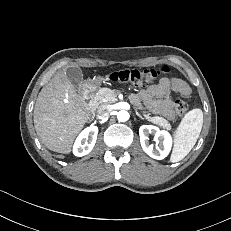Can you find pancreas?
I'll return each mask as SVG.
<instances>
[{"mask_svg": "<svg viewBox=\"0 0 231 231\" xmlns=\"http://www.w3.org/2000/svg\"><path fill=\"white\" fill-rule=\"evenodd\" d=\"M94 100L98 104H108V103H114L116 99V92L110 88H100L96 95L94 96ZM145 118L156 124L159 125L160 127L169 129L171 127L169 121L164 119L163 117L155 116V117H150L148 114H144Z\"/></svg>", "mask_w": 231, "mask_h": 231, "instance_id": "1", "label": "pancreas"}]
</instances>
